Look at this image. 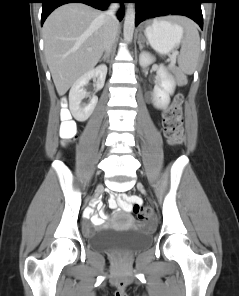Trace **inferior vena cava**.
Here are the masks:
<instances>
[{
  "mask_svg": "<svg viewBox=\"0 0 239 296\" xmlns=\"http://www.w3.org/2000/svg\"><path fill=\"white\" fill-rule=\"evenodd\" d=\"M119 7L120 5L118 3H112L109 6L108 10L104 13V17L106 19V24L104 28V50L106 51V53L111 51L118 32V20L116 18V12Z\"/></svg>",
  "mask_w": 239,
  "mask_h": 296,
  "instance_id": "inferior-vena-cava-1",
  "label": "inferior vena cava"
}]
</instances>
